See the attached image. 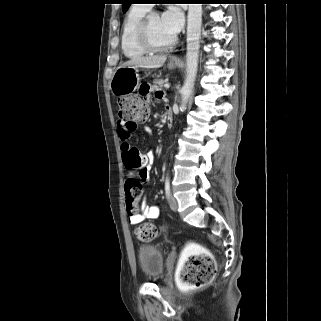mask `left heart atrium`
I'll use <instances>...</instances> for the list:
<instances>
[{"label":"left heart atrium","instance_id":"39dd6f15","mask_svg":"<svg viewBox=\"0 0 321 321\" xmlns=\"http://www.w3.org/2000/svg\"><path fill=\"white\" fill-rule=\"evenodd\" d=\"M161 22L163 26L173 35H176L182 29L184 18L181 10L176 6L169 7L162 15Z\"/></svg>","mask_w":321,"mask_h":321}]
</instances>
